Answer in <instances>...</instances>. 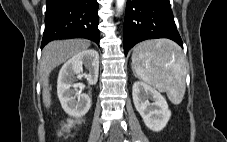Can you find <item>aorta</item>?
<instances>
[{
  "label": "aorta",
  "mask_w": 227,
  "mask_h": 142,
  "mask_svg": "<svg viewBox=\"0 0 227 142\" xmlns=\"http://www.w3.org/2000/svg\"><path fill=\"white\" fill-rule=\"evenodd\" d=\"M125 3L126 0H116V8L118 12H121L123 10Z\"/></svg>",
  "instance_id": "1"
}]
</instances>
